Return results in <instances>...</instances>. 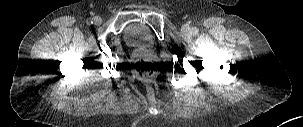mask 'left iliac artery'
<instances>
[{
	"mask_svg": "<svg viewBox=\"0 0 303 127\" xmlns=\"http://www.w3.org/2000/svg\"><path fill=\"white\" fill-rule=\"evenodd\" d=\"M198 32H199V29H198V28H196V27H193V28H192V33H193L194 35H197Z\"/></svg>",
	"mask_w": 303,
	"mask_h": 127,
	"instance_id": "1",
	"label": "left iliac artery"
}]
</instances>
